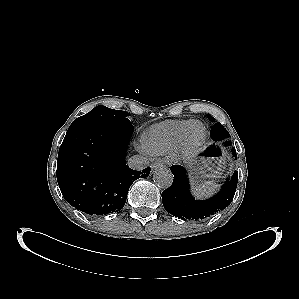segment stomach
Wrapping results in <instances>:
<instances>
[{"label":"stomach","mask_w":299,"mask_h":299,"mask_svg":"<svg viewBox=\"0 0 299 299\" xmlns=\"http://www.w3.org/2000/svg\"><path fill=\"white\" fill-rule=\"evenodd\" d=\"M224 168V152L218 145H211L199 154L191 170L192 181L197 185L206 179H216L222 174Z\"/></svg>","instance_id":"1"}]
</instances>
